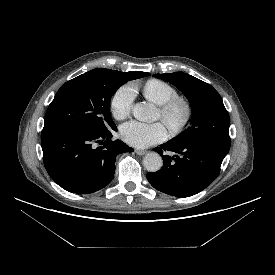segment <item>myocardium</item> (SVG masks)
I'll return each mask as SVG.
<instances>
[{
	"label": "myocardium",
	"instance_id": "obj_1",
	"mask_svg": "<svg viewBox=\"0 0 275 275\" xmlns=\"http://www.w3.org/2000/svg\"><path fill=\"white\" fill-rule=\"evenodd\" d=\"M180 108L183 111L182 119L173 126H167L172 135H177L182 132L189 124L192 118V106L188 99L182 96H176L160 106L161 120L163 122L169 117V115Z\"/></svg>",
	"mask_w": 275,
	"mask_h": 275
}]
</instances>
